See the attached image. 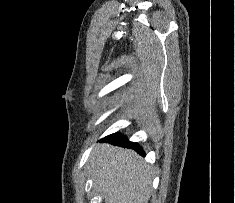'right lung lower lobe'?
Returning a JSON list of instances; mask_svg holds the SVG:
<instances>
[{
	"label": "right lung lower lobe",
	"mask_w": 235,
	"mask_h": 203,
	"mask_svg": "<svg viewBox=\"0 0 235 203\" xmlns=\"http://www.w3.org/2000/svg\"><path fill=\"white\" fill-rule=\"evenodd\" d=\"M102 141L108 142L114 145H119V146L135 149L139 154L145 156L144 151L137 143L128 141V139L124 135H121L119 133L111 134L103 138Z\"/></svg>",
	"instance_id": "98d812e1"
}]
</instances>
